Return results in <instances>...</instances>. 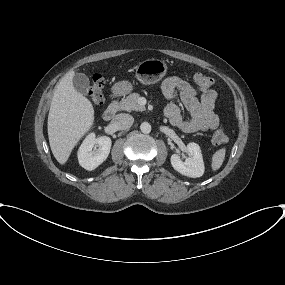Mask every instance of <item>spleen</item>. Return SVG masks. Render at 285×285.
Returning a JSON list of instances; mask_svg holds the SVG:
<instances>
[{"label": "spleen", "mask_w": 285, "mask_h": 285, "mask_svg": "<svg viewBox=\"0 0 285 285\" xmlns=\"http://www.w3.org/2000/svg\"><path fill=\"white\" fill-rule=\"evenodd\" d=\"M226 149L221 148L217 150L212 156L211 168L213 171H217L223 164L225 159Z\"/></svg>", "instance_id": "obj_1"}]
</instances>
